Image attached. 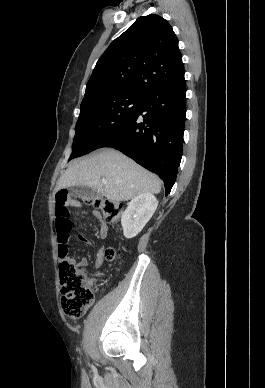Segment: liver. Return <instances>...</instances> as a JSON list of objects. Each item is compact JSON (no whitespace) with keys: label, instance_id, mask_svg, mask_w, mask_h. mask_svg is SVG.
Listing matches in <instances>:
<instances>
[{"label":"liver","instance_id":"liver-1","mask_svg":"<svg viewBox=\"0 0 265 388\" xmlns=\"http://www.w3.org/2000/svg\"><path fill=\"white\" fill-rule=\"evenodd\" d=\"M107 180L108 188L101 180ZM71 186H88L112 202L132 200L139 194H159L161 182L155 174L147 172L133 160L113 148H104L93 158H78L70 164L57 182L56 190Z\"/></svg>","mask_w":265,"mask_h":388}]
</instances>
